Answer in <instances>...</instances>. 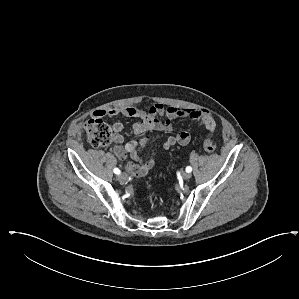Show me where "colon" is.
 Wrapping results in <instances>:
<instances>
[{
	"label": "colon",
	"mask_w": 299,
	"mask_h": 299,
	"mask_svg": "<svg viewBox=\"0 0 299 299\" xmlns=\"http://www.w3.org/2000/svg\"><path fill=\"white\" fill-rule=\"evenodd\" d=\"M85 133L88 142L97 148H105L114 142V135L111 126L100 118L90 119L85 124ZM207 152H214L216 146L210 137H205L203 143Z\"/></svg>",
	"instance_id": "colon-1"
}]
</instances>
